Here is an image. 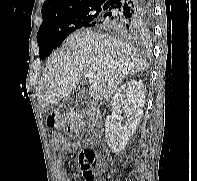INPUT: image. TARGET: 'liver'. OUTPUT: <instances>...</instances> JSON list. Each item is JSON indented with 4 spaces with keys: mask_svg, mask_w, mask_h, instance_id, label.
<instances>
[{
    "mask_svg": "<svg viewBox=\"0 0 197 181\" xmlns=\"http://www.w3.org/2000/svg\"><path fill=\"white\" fill-rule=\"evenodd\" d=\"M65 51L48 59L38 87V102L46 108L68 97L86 72H95L90 96L95 100L111 97L129 74L147 68L146 61L128 43L91 30L67 37Z\"/></svg>",
    "mask_w": 197,
    "mask_h": 181,
    "instance_id": "obj_1",
    "label": "liver"
}]
</instances>
